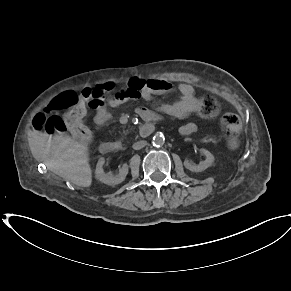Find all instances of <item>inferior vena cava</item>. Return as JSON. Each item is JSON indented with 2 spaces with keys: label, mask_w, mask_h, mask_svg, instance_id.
<instances>
[{
  "label": "inferior vena cava",
  "mask_w": 291,
  "mask_h": 291,
  "mask_svg": "<svg viewBox=\"0 0 291 291\" xmlns=\"http://www.w3.org/2000/svg\"><path fill=\"white\" fill-rule=\"evenodd\" d=\"M146 145H147V142L145 140H141V141L135 142L133 144V149L139 150V149L143 148Z\"/></svg>",
  "instance_id": "602c4592"
}]
</instances>
